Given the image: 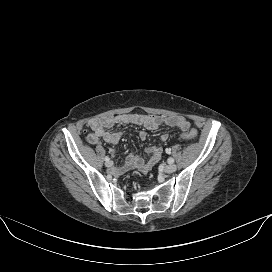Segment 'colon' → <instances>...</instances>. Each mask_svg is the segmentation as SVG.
Segmentation results:
<instances>
[{
    "instance_id": "5ec220e1",
    "label": "colon",
    "mask_w": 272,
    "mask_h": 272,
    "mask_svg": "<svg viewBox=\"0 0 272 272\" xmlns=\"http://www.w3.org/2000/svg\"><path fill=\"white\" fill-rule=\"evenodd\" d=\"M198 133L194 129L186 130L182 133V137L187 140H194L197 137Z\"/></svg>"
}]
</instances>
